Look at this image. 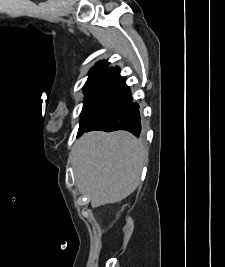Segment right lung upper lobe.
I'll return each instance as SVG.
<instances>
[{"label": "right lung upper lobe", "mask_w": 225, "mask_h": 267, "mask_svg": "<svg viewBox=\"0 0 225 267\" xmlns=\"http://www.w3.org/2000/svg\"><path fill=\"white\" fill-rule=\"evenodd\" d=\"M108 66L109 62H107L106 60L97 63L94 67L91 68L88 80H97L100 75L108 68Z\"/></svg>", "instance_id": "cb5924a9"}]
</instances>
